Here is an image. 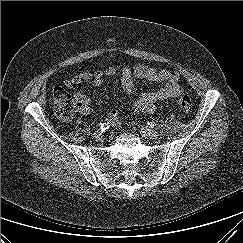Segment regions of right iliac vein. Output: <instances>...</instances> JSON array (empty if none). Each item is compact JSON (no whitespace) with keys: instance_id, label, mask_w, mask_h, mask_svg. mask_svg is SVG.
I'll list each match as a JSON object with an SVG mask.
<instances>
[{"instance_id":"1","label":"right iliac vein","mask_w":243,"mask_h":243,"mask_svg":"<svg viewBox=\"0 0 243 243\" xmlns=\"http://www.w3.org/2000/svg\"><path fill=\"white\" fill-rule=\"evenodd\" d=\"M93 138L98 141L102 138V132L101 131H96L94 134H93Z\"/></svg>"}]
</instances>
